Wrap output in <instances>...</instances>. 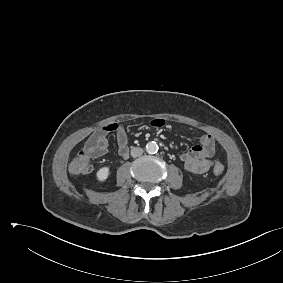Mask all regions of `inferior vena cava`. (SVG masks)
<instances>
[{
	"mask_svg": "<svg viewBox=\"0 0 283 283\" xmlns=\"http://www.w3.org/2000/svg\"><path fill=\"white\" fill-rule=\"evenodd\" d=\"M144 150L140 147H134L132 150H131V156L132 157H139L143 154Z\"/></svg>",
	"mask_w": 283,
	"mask_h": 283,
	"instance_id": "obj_1",
	"label": "inferior vena cava"
}]
</instances>
